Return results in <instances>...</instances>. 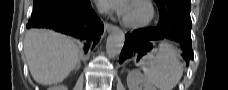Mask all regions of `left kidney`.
Returning a JSON list of instances; mask_svg holds the SVG:
<instances>
[{"label":"left kidney","instance_id":"left-kidney-1","mask_svg":"<svg viewBox=\"0 0 228 90\" xmlns=\"http://www.w3.org/2000/svg\"><path fill=\"white\" fill-rule=\"evenodd\" d=\"M127 86L129 90H156L147 78L137 70L128 73Z\"/></svg>","mask_w":228,"mask_h":90}]
</instances>
